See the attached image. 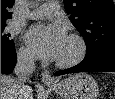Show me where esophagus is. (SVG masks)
I'll list each match as a JSON object with an SVG mask.
<instances>
[{
    "mask_svg": "<svg viewBox=\"0 0 115 99\" xmlns=\"http://www.w3.org/2000/svg\"><path fill=\"white\" fill-rule=\"evenodd\" d=\"M41 79L45 84L56 83L55 79L49 74V72H42Z\"/></svg>",
    "mask_w": 115,
    "mask_h": 99,
    "instance_id": "obj_1",
    "label": "esophagus"
}]
</instances>
